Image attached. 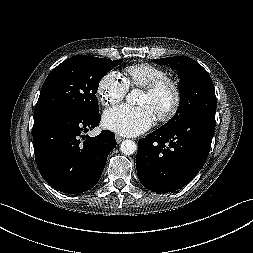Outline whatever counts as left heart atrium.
Returning a JSON list of instances; mask_svg holds the SVG:
<instances>
[{
  "label": "left heart atrium",
  "mask_w": 253,
  "mask_h": 253,
  "mask_svg": "<svg viewBox=\"0 0 253 253\" xmlns=\"http://www.w3.org/2000/svg\"><path fill=\"white\" fill-rule=\"evenodd\" d=\"M155 120V113L148 105L132 107L121 105L107 110L103 115L105 128L124 136H136L148 130Z\"/></svg>",
  "instance_id": "1"
}]
</instances>
